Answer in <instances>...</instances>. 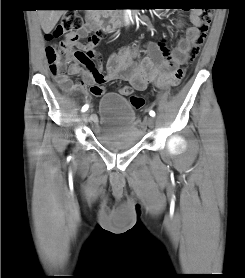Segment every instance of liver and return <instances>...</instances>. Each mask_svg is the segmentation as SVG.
<instances>
[{"instance_id": "6515ba94", "label": "liver", "mask_w": 245, "mask_h": 278, "mask_svg": "<svg viewBox=\"0 0 245 278\" xmlns=\"http://www.w3.org/2000/svg\"><path fill=\"white\" fill-rule=\"evenodd\" d=\"M64 10H38L40 25L45 34H49L58 23Z\"/></svg>"}]
</instances>
